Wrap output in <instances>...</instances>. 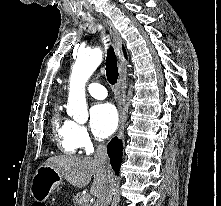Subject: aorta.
Segmentation results:
<instances>
[{
  "mask_svg": "<svg viewBox=\"0 0 221 206\" xmlns=\"http://www.w3.org/2000/svg\"><path fill=\"white\" fill-rule=\"evenodd\" d=\"M103 59L100 48L78 53L70 77L67 113L77 122L88 118V107L85 97V85Z\"/></svg>",
  "mask_w": 221,
  "mask_h": 206,
  "instance_id": "762f6f07",
  "label": "aorta"
}]
</instances>
